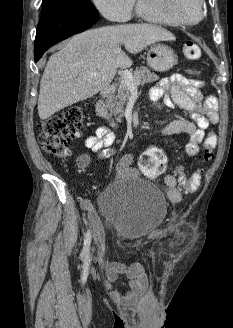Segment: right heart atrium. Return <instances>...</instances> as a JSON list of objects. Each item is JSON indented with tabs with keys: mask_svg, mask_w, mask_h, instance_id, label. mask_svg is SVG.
<instances>
[{
	"mask_svg": "<svg viewBox=\"0 0 233 328\" xmlns=\"http://www.w3.org/2000/svg\"><path fill=\"white\" fill-rule=\"evenodd\" d=\"M136 0H91L97 11L113 22L128 21Z\"/></svg>",
	"mask_w": 233,
	"mask_h": 328,
	"instance_id": "right-heart-atrium-1",
	"label": "right heart atrium"
}]
</instances>
